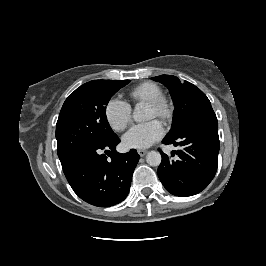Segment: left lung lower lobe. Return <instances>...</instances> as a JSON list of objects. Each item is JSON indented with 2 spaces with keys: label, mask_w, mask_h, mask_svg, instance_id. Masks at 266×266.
<instances>
[{
  "label": "left lung lower lobe",
  "mask_w": 266,
  "mask_h": 266,
  "mask_svg": "<svg viewBox=\"0 0 266 266\" xmlns=\"http://www.w3.org/2000/svg\"><path fill=\"white\" fill-rule=\"evenodd\" d=\"M164 144L180 145L171 159L161 151L158 176L167 191L176 196H191L204 190L217 171L220 148L215 113L195 121L178 135L165 138Z\"/></svg>",
  "instance_id": "1"
}]
</instances>
